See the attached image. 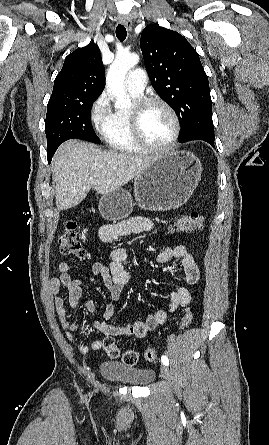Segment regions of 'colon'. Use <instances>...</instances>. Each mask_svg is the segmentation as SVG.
<instances>
[{"instance_id":"1","label":"colon","mask_w":269,"mask_h":445,"mask_svg":"<svg viewBox=\"0 0 269 445\" xmlns=\"http://www.w3.org/2000/svg\"><path fill=\"white\" fill-rule=\"evenodd\" d=\"M203 225V215L198 212H192L180 216L171 228V231L190 233L202 229ZM59 248L60 252L69 258L86 259L89 256L88 252L80 241L77 222L74 219H69L66 221L63 232L59 237ZM193 317L194 315L192 310L190 308H186L183 316L181 317V328H187L192 323ZM102 347L106 355L111 359H116L121 355L120 348L113 337H105L102 342ZM144 358L149 362L155 360V349L152 347L147 348L144 352ZM122 361L127 366L135 367L139 362V356L137 352L133 350H126L122 354Z\"/></svg>"}]
</instances>
